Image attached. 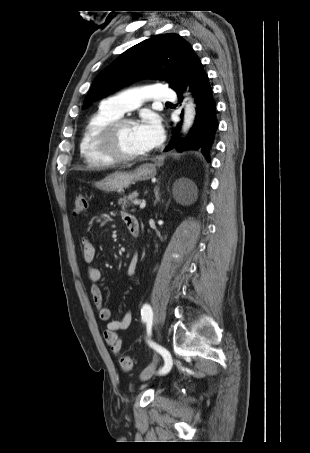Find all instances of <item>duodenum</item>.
I'll return each mask as SVG.
<instances>
[{"instance_id":"duodenum-1","label":"duodenum","mask_w":310,"mask_h":453,"mask_svg":"<svg viewBox=\"0 0 310 453\" xmlns=\"http://www.w3.org/2000/svg\"><path fill=\"white\" fill-rule=\"evenodd\" d=\"M139 229H140L139 225L138 226H131L129 228V232L131 233L132 236H137L138 233H139Z\"/></svg>"}]
</instances>
